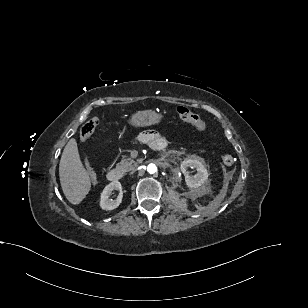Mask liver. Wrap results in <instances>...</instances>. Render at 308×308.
<instances>
[{"label":"liver","instance_id":"6515ba94","mask_svg":"<svg viewBox=\"0 0 308 308\" xmlns=\"http://www.w3.org/2000/svg\"><path fill=\"white\" fill-rule=\"evenodd\" d=\"M59 177L63 193L72 204H79L90 191L91 180L80 160L74 138L68 141L63 150Z\"/></svg>","mask_w":308,"mask_h":308}]
</instances>
